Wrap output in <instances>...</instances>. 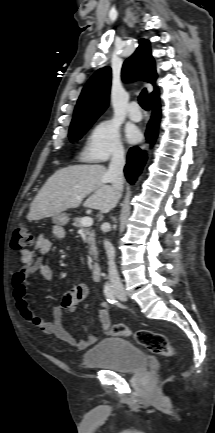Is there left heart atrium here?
<instances>
[{
  "instance_id": "left-heart-atrium-1",
  "label": "left heart atrium",
  "mask_w": 215,
  "mask_h": 433,
  "mask_svg": "<svg viewBox=\"0 0 215 433\" xmlns=\"http://www.w3.org/2000/svg\"><path fill=\"white\" fill-rule=\"evenodd\" d=\"M126 136L129 142L134 143L139 140L140 132L136 127L130 126L126 130Z\"/></svg>"
}]
</instances>
